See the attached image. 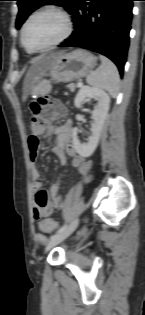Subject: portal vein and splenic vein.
Wrapping results in <instances>:
<instances>
[{
	"instance_id": "18ae733b",
	"label": "portal vein and splenic vein",
	"mask_w": 145,
	"mask_h": 315,
	"mask_svg": "<svg viewBox=\"0 0 145 315\" xmlns=\"http://www.w3.org/2000/svg\"><path fill=\"white\" fill-rule=\"evenodd\" d=\"M82 85H83L82 82H79V83L77 84L78 87H81Z\"/></svg>"
}]
</instances>
